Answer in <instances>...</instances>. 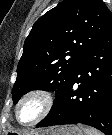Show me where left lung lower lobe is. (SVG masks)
I'll return each instance as SVG.
<instances>
[{
    "label": "left lung lower lobe",
    "instance_id": "left-lung-lower-lobe-1",
    "mask_svg": "<svg viewBox=\"0 0 112 135\" xmlns=\"http://www.w3.org/2000/svg\"><path fill=\"white\" fill-rule=\"evenodd\" d=\"M77 123L112 135V24L83 57L36 127Z\"/></svg>",
    "mask_w": 112,
    "mask_h": 135
}]
</instances>
